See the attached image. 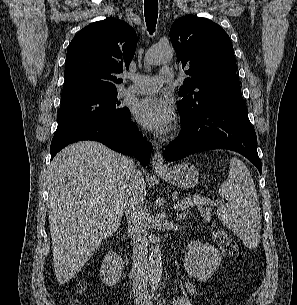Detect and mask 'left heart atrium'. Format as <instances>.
<instances>
[{
	"instance_id": "39dd6f15",
	"label": "left heart atrium",
	"mask_w": 297,
	"mask_h": 305,
	"mask_svg": "<svg viewBox=\"0 0 297 305\" xmlns=\"http://www.w3.org/2000/svg\"><path fill=\"white\" fill-rule=\"evenodd\" d=\"M133 112L143 127L156 133L167 132L174 122L171 101L160 96L153 95L139 100Z\"/></svg>"
}]
</instances>
